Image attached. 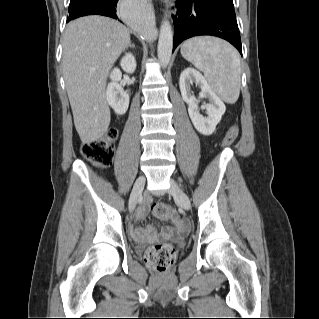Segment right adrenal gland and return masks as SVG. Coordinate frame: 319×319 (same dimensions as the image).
Masks as SVG:
<instances>
[{
    "mask_svg": "<svg viewBox=\"0 0 319 319\" xmlns=\"http://www.w3.org/2000/svg\"><path fill=\"white\" fill-rule=\"evenodd\" d=\"M128 47L132 48V49H135V45L132 44L131 42L129 43Z\"/></svg>",
    "mask_w": 319,
    "mask_h": 319,
    "instance_id": "right-adrenal-gland-1",
    "label": "right adrenal gland"
}]
</instances>
